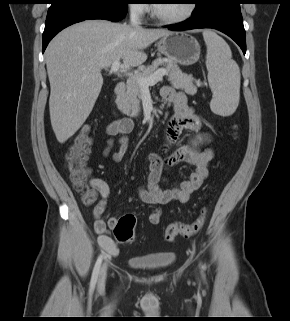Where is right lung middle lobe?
<instances>
[{"mask_svg": "<svg viewBox=\"0 0 290 321\" xmlns=\"http://www.w3.org/2000/svg\"><path fill=\"white\" fill-rule=\"evenodd\" d=\"M77 3L90 6L127 5L130 0H52L51 4Z\"/></svg>", "mask_w": 290, "mask_h": 321, "instance_id": "right-lung-middle-lobe-1", "label": "right lung middle lobe"}]
</instances>
